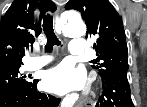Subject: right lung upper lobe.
<instances>
[{
    "label": "right lung upper lobe",
    "instance_id": "right-lung-upper-lobe-1",
    "mask_svg": "<svg viewBox=\"0 0 147 107\" xmlns=\"http://www.w3.org/2000/svg\"><path fill=\"white\" fill-rule=\"evenodd\" d=\"M35 8L44 18L47 11L56 10V5L51 0H14L1 19L0 70L21 65L25 51L33 48L34 38L42 31L40 18L33 15Z\"/></svg>",
    "mask_w": 147,
    "mask_h": 107
}]
</instances>
